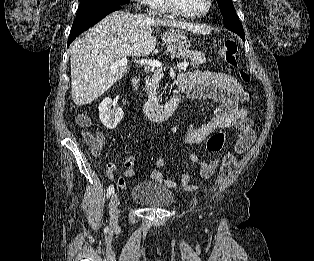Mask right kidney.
<instances>
[{"mask_svg": "<svg viewBox=\"0 0 314 261\" xmlns=\"http://www.w3.org/2000/svg\"><path fill=\"white\" fill-rule=\"evenodd\" d=\"M124 112L116 107L111 98H105L99 105V118L108 129H114L122 120Z\"/></svg>", "mask_w": 314, "mask_h": 261, "instance_id": "1", "label": "right kidney"}]
</instances>
